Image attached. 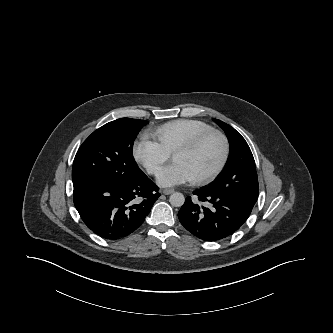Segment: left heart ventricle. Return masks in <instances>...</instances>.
<instances>
[{
	"instance_id": "b2bd125f",
	"label": "left heart ventricle",
	"mask_w": 333,
	"mask_h": 333,
	"mask_svg": "<svg viewBox=\"0 0 333 333\" xmlns=\"http://www.w3.org/2000/svg\"><path fill=\"white\" fill-rule=\"evenodd\" d=\"M222 155L223 143L221 139L211 137L195 150L176 155L174 161L185 166L193 178H199L211 173L219 164Z\"/></svg>"
}]
</instances>
